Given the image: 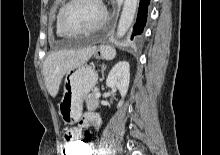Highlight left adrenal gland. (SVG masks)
I'll return each instance as SVG.
<instances>
[{"instance_id":"a2214340","label":"left adrenal gland","mask_w":220,"mask_h":155,"mask_svg":"<svg viewBox=\"0 0 220 155\" xmlns=\"http://www.w3.org/2000/svg\"><path fill=\"white\" fill-rule=\"evenodd\" d=\"M105 69H106V65H102V71H101L102 78H101V81L104 79V71H105Z\"/></svg>"}]
</instances>
